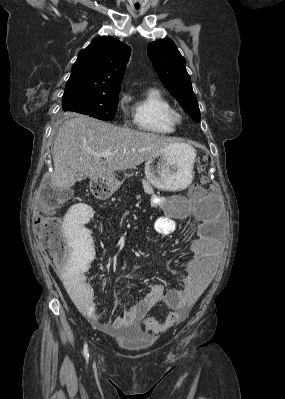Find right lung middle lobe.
Instances as JSON below:
<instances>
[{
	"label": "right lung middle lobe",
	"instance_id": "dd1d6c3e",
	"mask_svg": "<svg viewBox=\"0 0 285 399\" xmlns=\"http://www.w3.org/2000/svg\"><path fill=\"white\" fill-rule=\"evenodd\" d=\"M119 92L114 94L102 93H72L64 94L62 108L91 117L109 121L113 120L118 105Z\"/></svg>",
	"mask_w": 285,
	"mask_h": 399
}]
</instances>
